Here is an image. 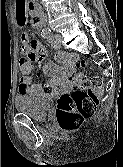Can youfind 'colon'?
<instances>
[{
  "label": "colon",
  "instance_id": "obj_1",
  "mask_svg": "<svg viewBox=\"0 0 123 167\" xmlns=\"http://www.w3.org/2000/svg\"><path fill=\"white\" fill-rule=\"evenodd\" d=\"M62 58L76 60L84 67L85 63L74 55L64 54ZM28 59H20V68L28 64ZM103 91V80L99 76L79 74L74 79V88L70 93L62 94L57 100V120L63 130L78 128L85 119L93 116Z\"/></svg>",
  "mask_w": 123,
  "mask_h": 167
}]
</instances>
